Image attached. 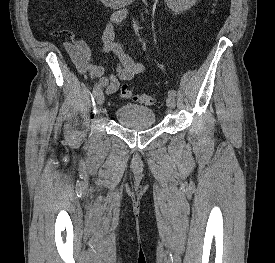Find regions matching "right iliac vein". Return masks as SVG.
Wrapping results in <instances>:
<instances>
[{"instance_id":"right-iliac-vein-1","label":"right iliac vein","mask_w":275,"mask_h":263,"mask_svg":"<svg viewBox=\"0 0 275 263\" xmlns=\"http://www.w3.org/2000/svg\"><path fill=\"white\" fill-rule=\"evenodd\" d=\"M103 103H104V95H103V93H102V91H101V92H100L99 94H97V96H96V104H97V109H98V111H100V109H101Z\"/></svg>"}]
</instances>
